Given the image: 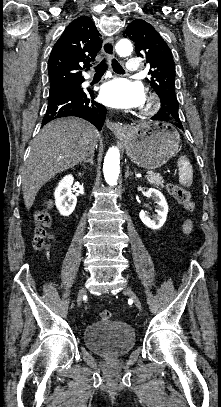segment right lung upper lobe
I'll list each match as a JSON object with an SVG mask.
<instances>
[{"instance_id": "obj_1", "label": "right lung upper lobe", "mask_w": 221, "mask_h": 407, "mask_svg": "<svg viewBox=\"0 0 221 407\" xmlns=\"http://www.w3.org/2000/svg\"><path fill=\"white\" fill-rule=\"evenodd\" d=\"M101 46L99 32L91 18L82 16L72 21L50 54L51 84L66 86L84 80L82 70L92 66Z\"/></svg>"}]
</instances>
